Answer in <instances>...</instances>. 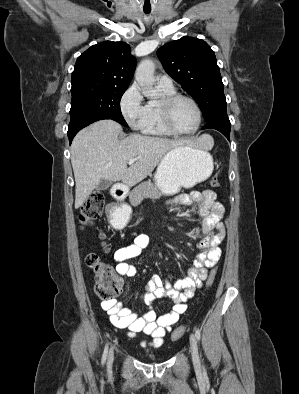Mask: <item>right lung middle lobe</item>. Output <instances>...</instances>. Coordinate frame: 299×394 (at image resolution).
I'll return each mask as SVG.
<instances>
[{"label":"right lung middle lobe","mask_w":299,"mask_h":394,"mask_svg":"<svg viewBox=\"0 0 299 394\" xmlns=\"http://www.w3.org/2000/svg\"><path fill=\"white\" fill-rule=\"evenodd\" d=\"M127 88L109 85L72 87L71 119L81 116H106L127 126L120 109V100Z\"/></svg>","instance_id":"right-lung-middle-lobe-1"}]
</instances>
